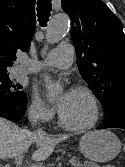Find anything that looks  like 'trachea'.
Wrapping results in <instances>:
<instances>
[{"instance_id":"obj_1","label":"trachea","mask_w":125,"mask_h":167,"mask_svg":"<svg viewBox=\"0 0 125 167\" xmlns=\"http://www.w3.org/2000/svg\"><path fill=\"white\" fill-rule=\"evenodd\" d=\"M51 10H52L51 0H38L37 16H38V21L42 27H45L47 25Z\"/></svg>"}]
</instances>
